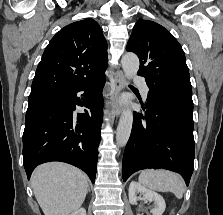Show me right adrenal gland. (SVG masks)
Returning <instances> with one entry per match:
<instances>
[{"instance_id": "right-adrenal-gland-1", "label": "right adrenal gland", "mask_w": 223, "mask_h": 215, "mask_svg": "<svg viewBox=\"0 0 223 215\" xmlns=\"http://www.w3.org/2000/svg\"><path fill=\"white\" fill-rule=\"evenodd\" d=\"M88 191H90V187H87V193H88Z\"/></svg>"}]
</instances>
